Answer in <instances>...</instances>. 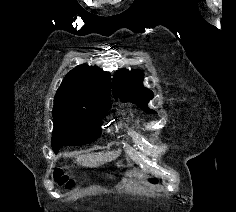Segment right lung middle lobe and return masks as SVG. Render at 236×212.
Returning <instances> with one entry per match:
<instances>
[{"label":"right lung middle lobe","instance_id":"right-lung-middle-lobe-1","mask_svg":"<svg viewBox=\"0 0 236 212\" xmlns=\"http://www.w3.org/2000/svg\"><path fill=\"white\" fill-rule=\"evenodd\" d=\"M110 108V100L100 101L96 107H53L52 148L55 153L62 146H77L95 141L101 134V119Z\"/></svg>","mask_w":236,"mask_h":212}]
</instances>
